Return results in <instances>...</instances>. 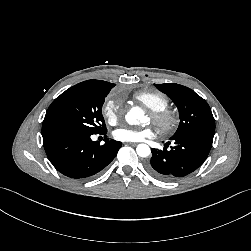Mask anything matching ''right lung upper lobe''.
Returning a JSON list of instances; mask_svg holds the SVG:
<instances>
[{
  "instance_id": "1",
  "label": "right lung upper lobe",
  "mask_w": 251,
  "mask_h": 251,
  "mask_svg": "<svg viewBox=\"0 0 251 251\" xmlns=\"http://www.w3.org/2000/svg\"><path fill=\"white\" fill-rule=\"evenodd\" d=\"M79 85L92 87V88L102 90V91H110L115 86V84L113 83H109V82L101 81V80H87V81L79 83Z\"/></svg>"
}]
</instances>
